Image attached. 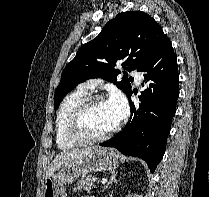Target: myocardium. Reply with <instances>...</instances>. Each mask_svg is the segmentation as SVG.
<instances>
[{
	"label": "myocardium",
	"instance_id": "1",
	"mask_svg": "<svg viewBox=\"0 0 209 197\" xmlns=\"http://www.w3.org/2000/svg\"><path fill=\"white\" fill-rule=\"evenodd\" d=\"M103 100L102 95H88L70 112L66 123V134L70 141L77 145L94 144L106 140L116 131L117 126H113L101 135L89 136L83 130V118L86 111Z\"/></svg>",
	"mask_w": 209,
	"mask_h": 197
}]
</instances>
